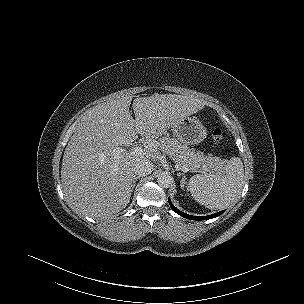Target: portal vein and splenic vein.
Here are the masks:
<instances>
[{
	"instance_id": "portal-vein-and-splenic-vein-1",
	"label": "portal vein and splenic vein",
	"mask_w": 304,
	"mask_h": 304,
	"mask_svg": "<svg viewBox=\"0 0 304 304\" xmlns=\"http://www.w3.org/2000/svg\"><path fill=\"white\" fill-rule=\"evenodd\" d=\"M131 150L134 151V152H136V153H140V152L143 151V149H142L141 147H138V146L132 147ZM180 169H181L183 172H185V173L188 172V171H190V169L187 168L186 166H182Z\"/></svg>"
}]
</instances>
